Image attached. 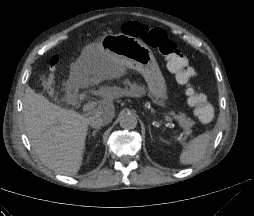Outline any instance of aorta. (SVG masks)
<instances>
[{
  "instance_id": "1",
  "label": "aorta",
  "mask_w": 254,
  "mask_h": 216,
  "mask_svg": "<svg viewBox=\"0 0 254 216\" xmlns=\"http://www.w3.org/2000/svg\"><path fill=\"white\" fill-rule=\"evenodd\" d=\"M120 126L126 130H132L137 126V118L134 114L125 113L119 117Z\"/></svg>"
}]
</instances>
